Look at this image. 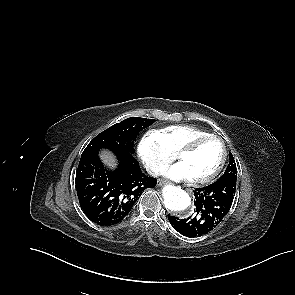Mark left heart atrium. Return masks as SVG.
<instances>
[{
  "label": "left heart atrium",
  "mask_w": 295,
  "mask_h": 295,
  "mask_svg": "<svg viewBox=\"0 0 295 295\" xmlns=\"http://www.w3.org/2000/svg\"><path fill=\"white\" fill-rule=\"evenodd\" d=\"M163 174L175 181H181V180H189L192 179L188 169L186 166L179 162L177 164H174L168 168H166L163 172Z\"/></svg>",
  "instance_id": "left-heart-atrium-1"
}]
</instances>
